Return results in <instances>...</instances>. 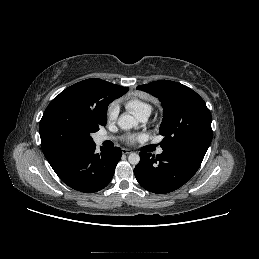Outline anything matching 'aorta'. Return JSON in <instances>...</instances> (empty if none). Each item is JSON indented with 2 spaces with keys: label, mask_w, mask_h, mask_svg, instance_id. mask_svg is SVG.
<instances>
[{
  "label": "aorta",
  "mask_w": 259,
  "mask_h": 259,
  "mask_svg": "<svg viewBox=\"0 0 259 259\" xmlns=\"http://www.w3.org/2000/svg\"><path fill=\"white\" fill-rule=\"evenodd\" d=\"M137 125L138 121L129 114H122L118 119V126L124 130L135 128ZM128 161L132 165H137L140 161V157L137 153H131L128 157Z\"/></svg>",
  "instance_id": "obj_1"
}]
</instances>
